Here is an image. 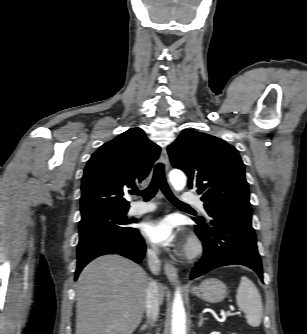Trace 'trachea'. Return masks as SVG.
<instances>
[{
	"instance_id": "obj_1",
	"label": "trachea",
	"mask_w": 307,
	"mask_h": 334,
	"mask_svg": "<svg viewBox=\"0 0 307 334\" xmlns=\"http://www.w3.org/2000/svg\"><path fill=\"white\" fill-rule=\"evenodd\" d=\"M161 189L164 195L174 204L188 206L187 204L178 200L171 192L165 179L164 165L158 163L154 168L153 178L150 185L143 191H134L133 194L142 196L145 201L152 199L157 193L158 189Z\"/></svg>"
}]
</instances>
